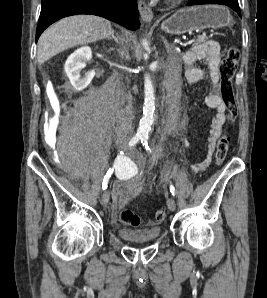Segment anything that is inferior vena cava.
Listing matches in <instances>:
<instances>
[{"label": "inferior vena cava", "mask_w": 267, "mask_h": 298, "mask_svg": "<svg viewBox=\"0 0 267 298\" xmlns=\"http://www.w3.org/2000/svg\"><path fill=\"white\" fill-rule=\"evenodd\" d=\"M121 99L124 103L126 102V105L119 113V123L121 127L128 132L133 119L132 96L130 94L123 93L121 95Z\"/></svg>", "instance_id": "1"}]
</instances>
